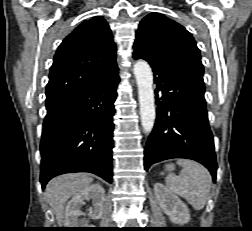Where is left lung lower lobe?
<instances>
[{"instance_id": "1", "label": "left lung lower lobe", "mask_w": 252, "mask_h": 231, "mask_svg": "<svg viewBox=\"0 0 252 231\" xmlns=\"http://www.w3.org/2000/svg\"><path fill=\"white\" fill-rule=\"evenodd\" d=\"M151 67L158 107L144 150L145 170L162 160L187 158L208 168L215 181L217 162L203 75L179 65L151 64Z\"/></svg>"}]
</instances>
